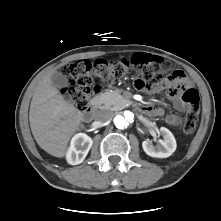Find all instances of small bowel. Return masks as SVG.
<instances>
[{
	"label": "small bowel",
	"mask_w": 221,
	"mask_h": 221,
	"mask_svg": "<svg viewBox=\"0 0 221 221\" xmlns=\"http://www.w3.org/2000/svg\"><path fill=\"white\" fill-rule=\"evenodd\" d=\"M177 84L189 85L190 82L183 71L175 70L165 81V86L167 87V98L172 101L174 108L184 113L188 110V105L182 100L180 91L176 88ZM161 90V86H157L153 89L154 92ZM145 112L151 116H161L163 110L161 108L145 107ZM167 123L171 126H179L182 119L179 115L170 114L166 119Z\"/></svg>",
	"instance_id": "obj_1"
}]
</instances>
